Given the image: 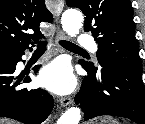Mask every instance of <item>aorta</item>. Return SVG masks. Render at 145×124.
<instances>
[{
  "label": "aorta",
  "mask_w": 145,
  "mask_h": 124,
  "mask_svg": "<svg viewBox=\"0 0 145 124\" xmlns=\"http://www.w3.org/2000/svg\"><path fill=\"white\" fill-rule=\"evenodd\" d=\"M63 30L71 37L79 34L83 24V15L75 9L66 10L61 17ZM81 111L77 107L69 108L57 121V124H79Z\"/></svg>",
  "instance_id": "762f6f07"
}]
</instances>
